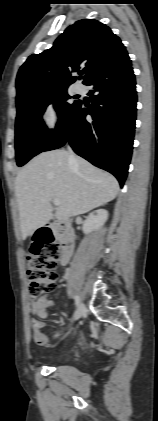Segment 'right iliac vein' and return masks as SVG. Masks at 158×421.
Listing matches in <instances>:
<instances>
[{"instance_id":"right-iliac-vein-1","label":"right iliac vein","mask_w":158,"mask_h":421,"mask_svg":"<svg viewBox=\"0 0 158 421\" xmlns=\"http://www.w3.org/2000/svg\"><path fill=\"white\" fill-rule=\"evenodd\" d=\"M84 310H85L84 304L83 303H80L78 305L77 310L75 311L74 320H78L83 315Z\"/></svg>"}]
</instances>
